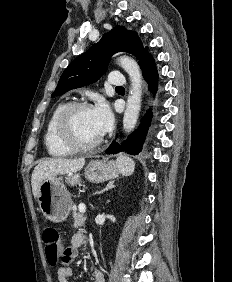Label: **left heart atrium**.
I'll list each match as a JSON object with an SVG mask.
<instances>
[{
  "label": "left heart atrium",
  "instance_id": "left-heart-atrium-1",
  "mask_svg": "<svg viewBox=\"0 0 232 282\" xmlns=\"http://www.w3.org/2000/svg\"><path fill=\"white\" fill-rule=\"evenodd\" d=\"M92 114L101 135H104L112 128L113 115L109 105L104 100L97 102V104L92 108Z\"/></svg>",
  "mask_w": 232,
  "mask_h": 282
}]
</instances>
